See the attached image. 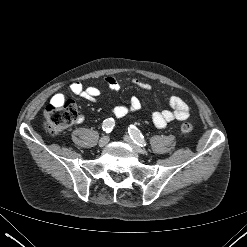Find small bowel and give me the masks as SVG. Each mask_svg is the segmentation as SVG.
I'll return each instance as SVG.
<instances>
[{"label": "small bowel", "mask_w": 247, "mask_h": 247, "mask_svg": "<svg viewBox=\"0 0 247 247\" xmlns=\"http://www.w3.org/2000/svg\"><path fill=\"white\" fill-rule=\"evenodd\" d=\"M133 84L138 88L148 91L151 89V85L140 79H133ZM107 86L114 92L119 91V84L117 80L113 77H107L105 79ZM70 90L73 94L86 99L88 101L95 102L97 98L101 95V90L95 86L85 87L81 82H73L70 85ZM64 100V96L61 93L55 94L52 97V103H61ZM169 109L155 111L152 113V122L159 128H165L168 123L172 121H184L188 119L190 115V109L187 103L177 96H172L169 99ZM141 108V101L137 97H132L127 105H118L112 108V114L116 118H123L128 114L134 113ZM82 118L79 117L78 121Z\"/></svg>", "instance_id": "obj_1"}]
</instances>
